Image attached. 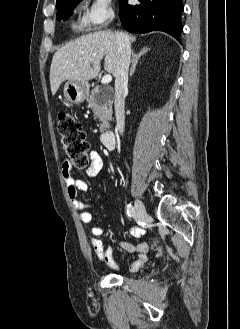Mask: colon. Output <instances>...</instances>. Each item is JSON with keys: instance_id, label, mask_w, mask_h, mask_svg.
Wrapping results in <instances>:
<instances>
[{"instance_id": "obj_1", "label": "colon", "mask_w": 240, "mask_h": 329, "mask_svg": "<svg viewBox=\"0 0 240 329\" xmlns=\"http://www.w3.org/2000/svg\"><path fill=\"white\" fill-rule=\"evenodd\" d=\"M58 130L67 158L78 169L86 168L89 164L90 145L79 121L67 112H60ZM161 255V249L158 250Z\"/></svg>"}]
</instances>
